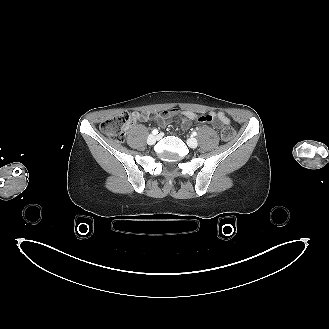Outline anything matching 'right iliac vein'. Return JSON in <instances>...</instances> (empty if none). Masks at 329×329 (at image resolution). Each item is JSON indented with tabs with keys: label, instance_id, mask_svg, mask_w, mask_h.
<instances>
[{
	"label": "right iliac vein",
	"instance_id": "obj_1",
	"mask_svg": "<svg viewBox=\"0 0 329 329\" xmlns=\"http://www.w3.org/2000/svg\"><path fill=\"white\" fill-rule=\"evenodd\" d=\"M158 139H159V136L149 135L147 138V143L149 145H153Z\"/></svg>",
	"mask_w": 329,
	"mask_h": 329
}]
</instances>
